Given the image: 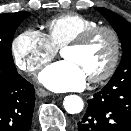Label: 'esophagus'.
Masks as SVG:
<instances>
[{"mask_svg": "<svg viewBox=\"0 0 131 131\" xmlns=\"http://www.w3.org/2000/svg\"><path fill=\"white\" fill-rule=\"evenodd\" d=\"M36 94L39 96V97H46V96H49L51 95V93L43 88H38L36 90Z\"/></svg>", "mask_w": 131, "mask_h": 131, "instance_id": "34e87169", "label": "esophagus"}]
</instances>
